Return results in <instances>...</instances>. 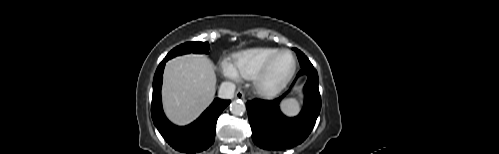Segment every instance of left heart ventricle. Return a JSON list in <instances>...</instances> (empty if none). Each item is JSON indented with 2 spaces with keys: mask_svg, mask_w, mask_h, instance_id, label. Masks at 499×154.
<instances>
[{
  "mask_svg": "<svg viewBox=\"0 0 499 154\" xmlns=\"http://www.w3.org/2000/svg\"><path fill=\"white\" fill-rule=\"evenodd\" d=\"M291 60L288 55H281L274 62L270 71V80L275 81L282 77L290 68Z\"/></svg>",
  "mask_w": 499,
  "mask_h": 154,
  "instance_id": "left-heart-ventricle-1",
  "label": "left heart ventricle"
}]
</instances>
